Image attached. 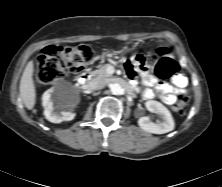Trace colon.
Masks as SVG:
<instances>
[{
    "mask_svg": "<svg viewBox=\"0 0 222 187\" xmlns=\"http://www.w3.org/2000/svg\"><path fill=\"white\" fill-rule=\"evenodd\" d=\"M154 73L160 79H168L175 75L179 69L178 63L168 54L165 47L157 50ZM91 60V52L85 48H72L63 46L47 47L38 59L36 77L41 85H51L57 80L70 74L83 71ZM147 65L145 60L140 61L143 69ZM189 104V97L182 96L174 104L173 109L183 114Z\"/></svg>",
    "mask_w": 222,
    "mask_h": 187,
    "instance_id": "obj_1",
    "label": "colon"
}]
</instances>
